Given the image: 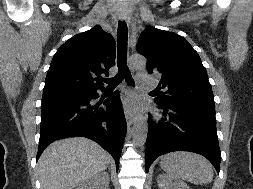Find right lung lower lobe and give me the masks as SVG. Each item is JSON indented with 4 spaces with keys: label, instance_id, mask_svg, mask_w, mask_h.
Listing matches in <instances>:
<instances>
[{
    "label": "right lung lower lobe",
    "instance_id": "right-lung-lower-lobe-1",
    "mask_svg": "<svg viewBox=\"0 0 253 189\" xmlns=\"http://www.w3.org/2000/svg\"><path fill=\"white\" fill-rule=\"evenodd\" d=\"M102 91L104 89H101ZM98 97L97 90L77 94L42 97L41 131L38 159L53 141L81 136L98 142L114 158L117 169L127 131L125 116L118 92L104 101L105 109L90 101Z\"/></svg>",
    "mask_w": 253,
    "mask_h": 189
}]
</instances>
